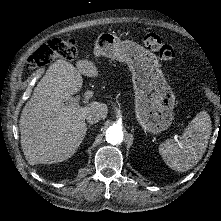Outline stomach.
Wrapping results in <instances>:
<instances>
[{"label": "stomach", "mask_w": 221, "mask_h": 221, "mask_svg": "<svg viewBox=\"0 0 221 221\" xmlns=\"http://www.w3.org/2000/svg\"><path fill=\"white\" fill-rule=\"evenodd\" d=\"M93 56H106L129 64L136 115L145 130L155 133L170 125L175 97L151 53L133 42L122 43L114 33L102 32L95 39Z\"/></svg>", "instance_id": "1"}]
</instances>
